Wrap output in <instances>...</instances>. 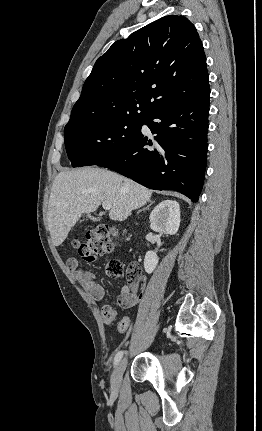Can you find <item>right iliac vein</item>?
Wrapping results in <instances>:
<instances>
[{
    "label": "right iliac vein",
    "mask_w": 262,
    "mask_h": 431,
    "mask_svg": "<svg viewBox=\"0 0 262 431\" xmlns=\"http://www.w3.org/2000/svg\"><path fill=\"white\" fill-rule=\"evenodd\" d=\"M126 364H127V359L124 358L118 363L115 370L113 371V374L111 377V385L113 389L119 388L120 380L124 372V369L126 367Z\"/></svg>",
    "instance_id": "obj_1"
}]
</instances>
